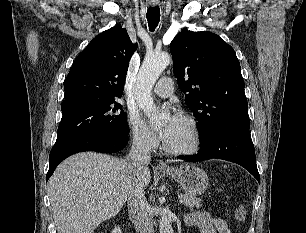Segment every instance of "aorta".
Segmentation results:
<instances>
[{
    "instance_id": "762f6f07",
    "label": "aorta",
    "mask_w": 306,
    "mask_h": 233,
    "mask_svg": "<svg viewBox=\"0 0 306 233\" xmlns=\"http://www.w3.org/2000/svg\"><path fill=\"white\" fill-rule=\"evenodd\" d=\"M170 61L171 57L166 52L149 55L143 61L138 73L136 101L152 123H158L160 116L156 111L151 91L155 82L169 65ZM159 231L160 233H173L172 225L166 216H161L159 220Z\"/></svg>"
}]
</instances>
